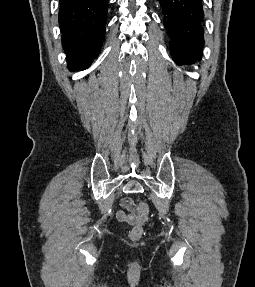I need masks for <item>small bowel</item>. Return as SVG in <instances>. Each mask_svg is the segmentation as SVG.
I'll list each match as a JSON object with an SVG mask.
<instances>
[{
  "label": "small bowel",
  "mask_w": 255,
  "mask_h": 287,
  "mask_svg": "<svg viewBox=\"0 0 255 287\" xmlns=\"http://www.w3.org/2000/svg\"><path fill=\"white\" fill-rule=\"evenodd\" d=\"M120 205L122 209L117 211L116 220L124 225H135L138 221V212L133 200L128 197L123 198Z\"/></svg>",
  "instance_id": "small-bowel-1"
}]
</instances>
